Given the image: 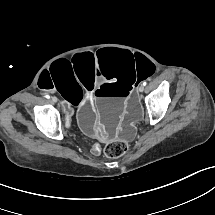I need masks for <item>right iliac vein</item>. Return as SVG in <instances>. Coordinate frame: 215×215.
<instances>
[{
	"mask_svg": "<svg viewBox=\"0 0 215 215\" xmlns=\"http://www.w3.org/2000/svg\"><path fill=\"white\" fill-rule=\"evenodd\" d=\"M51 101L54 102V103H57L58 99H57L55 96H53V97L51 98Z\"/></svg>",
	"mask_w": 215,
	"mask_h": 215,
	"instance_id": "obj_1",
	"label": "right iliac vein"
}]
</instances>
